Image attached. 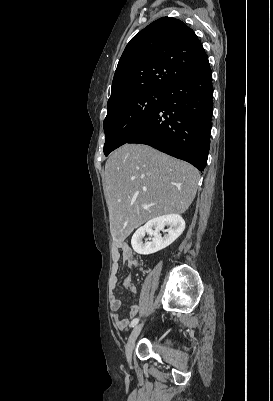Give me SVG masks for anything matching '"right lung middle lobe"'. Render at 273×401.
<instances>
[{
  "mask_svg": "<svg viewBox=\"0 0 273 401\" xmlns=\"http://www.w3.org/2000/svg\"><path fill=\"white\" fill-rule=\"evenodd\" d=\"M164 92L148 90L138 92L107 105L104 120L106 141L104 154L125 144L163 100Z\"/></svg>",
  "mask_w": 273,
  "mask_h": 401,
  "instance_id": "obj_1",
  "label": "right lung middle lobe"
}]
</instances>
